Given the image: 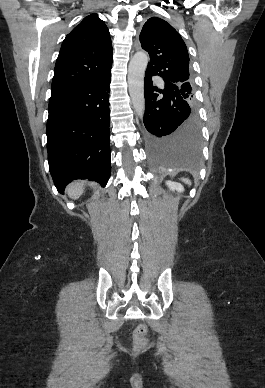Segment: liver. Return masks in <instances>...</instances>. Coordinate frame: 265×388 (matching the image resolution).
Returning <instances> with one entry per match:
<instances>
[{"label": "liver", "mask_w": 265, "mask_h": 388, "mask_svg": "<svg viewBox=\"0 0 265 388\" xmlns=\"http://www.w3.org/2000/svg\"><path fill=\"white\" fill-rule=\"evenodd\" d=\"M66 192L70 198L77 200V198H79V196H81L84 192V182H72V184L67 186Z\"/></svg>", "instance_id": "liver-1"}]
</instances>
